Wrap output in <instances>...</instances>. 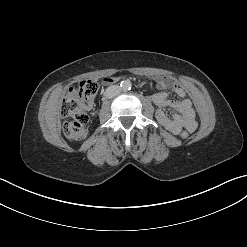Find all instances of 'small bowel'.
Instances as JSON below:
<instances>
[{
	"label": "small bowel",
	"instance_id": "obj_1",
	"mask_svg": "<svg viewBox=\"0 0 247 247\" xmlns=\"http://www.w3.org/2000/svg\"><path fill=\"white\" fill-rule=\"evenodd\" d=\"M116 81L114 77H106L103 80L105 85H110ZM157 88L160 92L152 96V102L157 106L156 118L158 122L172 134H179L182 128L189 132H194L197 123L195 121V111L192 102L186 97V91L174 80L168 77L157 78ZM173 92L179 100H170L168 93ZM93 99L87 100L84 104L86 109L93 106ZM170 107L177 113L173 118H169L164 108Z\"/></svg>",
	"mask_w": 247,
	"mask_h": 247
}]
</instances>
